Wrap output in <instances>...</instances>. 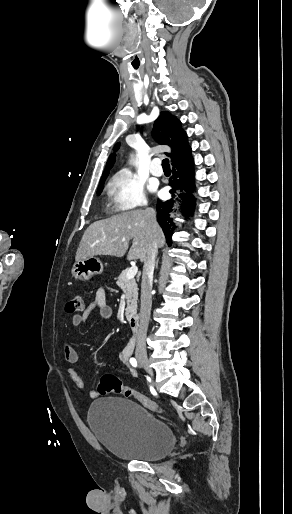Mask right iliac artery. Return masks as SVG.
<instances>
[{"label":"right iliac artery","instance_id":"82829eb1","mask_svg":"<svg viewBox=\"0 0 292 514\" xmlns=\"http://www.w3.org/2000/svg\"><path fill=\"white\" fill-rule=\"evenodd\" d=\"M130 364L133 366V367H137L138 364H137V360L135 358H130Z\"/></svg>","mask_w":292,"mask_h":514}]
</instances>
